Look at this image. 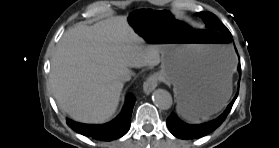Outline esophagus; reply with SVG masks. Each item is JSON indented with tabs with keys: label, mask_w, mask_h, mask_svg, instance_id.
<instances>
[{
	"label": "esophagus",
	"mask_w": 279,
	"mask_h": 148,
	"mask_svg": "<svg viewBox=\"0 0 279 148\" xmlns=\"http://www.w3.org/2000/svg\"><path fill=\"white\" fill-rule=\"evenodd\" d=\"M159 76L158 74L154 73L150 75L143 84V91L145 94L151 93L158 84Z\"/></svg>",
	"instance_id": "34e87169"
}]
</instances>
